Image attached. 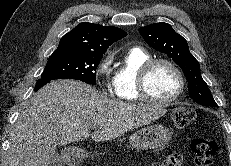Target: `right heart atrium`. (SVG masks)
<instances>
[{"mask_svg": "<svg viewBox=\"0 0 231 166\" xmlns=\"http://www.w3.org/2000/svg\"><path fill=\"white\" fill-rule=\"evenodd\" d=\"M113 57L108 53L99 63L97 68V76L100 79L101 88L104 91L110 92L114 87V76L111 75V63Z\"/></svg>", "mask_w": 231, "mask_h": 166, "instance_id": "obj_1", "label": "right heart atrium"}]
</instances>
